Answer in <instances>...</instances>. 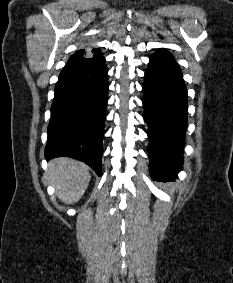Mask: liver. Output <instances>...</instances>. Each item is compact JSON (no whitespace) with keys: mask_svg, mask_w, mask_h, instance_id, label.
Returning a JSON list of instances; mask_svg holds the SVG:
<instances>
[{"mask_svg":"<svg viewBox=\"0 0 233 283\" xmlns=\"http://www.w3.org/2000/svg\"><path fill=\"white\" fill-rule=\"evenodd\" d=\"M46 179L55 187L56 194L62 202L74 204L83 196L91 175L89 167L83 162L60 157L49 162Z\"/></svg>","mask_w":233,"mask_h":283,"instance_id":"obj_1","label":"liver"}]
</instances>
